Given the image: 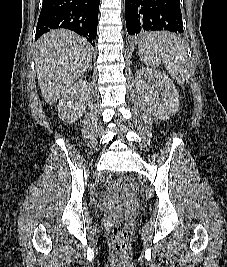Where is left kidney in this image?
<instances>
[{
    "instance_id": "left-kidney-1",
    "label": "left kidney",
    "mask_w": 227,
    "mask_h": 267,
    "mask_svg": "<svg viewBox=\"0 0 227 267\" xmlns=\"http://www.w3.org/2000/svg\"><path fill=\"white\" fill-rule=\"evenodd\" d=\"M135 79L137 89L153 116L163 120L177 112L178 92L167 75L155 69L142 68L136 71Z\"/></svg>"
}]
</instances>
